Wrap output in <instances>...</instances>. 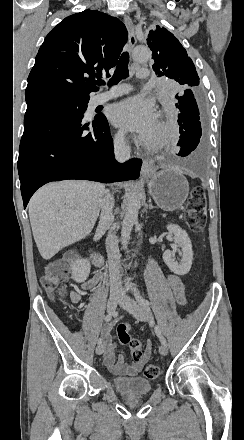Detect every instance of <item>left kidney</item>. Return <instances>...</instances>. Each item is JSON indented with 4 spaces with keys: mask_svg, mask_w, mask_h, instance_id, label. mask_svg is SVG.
<instances>
[{
    "mask_svg": "<svg viewBox=\"0 0 244 440\" xmlns=\"http://www.w3.org/2000/svg\"><path fill=\"white\" fill-rule=\"evenodd\" d=\"M167 230L168 232H172L175 238V246L182 248V258L180 262H176V260H174L173 252H171V250H165L163 260L173 274H177V276H185V274L190 272L193 262L191 240L187 232L182 230L180 226H176V224H168Z\"/></svg>",
    "mask_w": 244,
    "mask_h": 440,
    "instance_id": "1",
    "label": "left kidney"
}]
</instances>
